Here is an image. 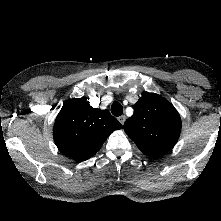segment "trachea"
<instances>
[{
	"instance_id": "3493384b",
	"label": "trachea",
	"mask_w": 221,
	"mask_h": 221,
	"mask_svg": "<svg viewBox=\"0 0 221 221\" xmlns=\"http://www.w3.org/2000/svg\"><path fill=\"white\" fill-rule=\"evenodd\" d=\"M111 112L114 116H121L123 113V107L119 102H114L111 105Z\"/></svg>"
}]
</instances>
